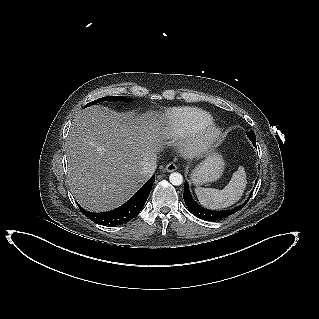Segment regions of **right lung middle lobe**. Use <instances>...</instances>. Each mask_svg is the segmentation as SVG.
I'll use <instances>...</instances> for the list:
<instances>
[{
  "label": "right lung middle lobe",
  "instance_id": "obj_1",
  "mask_svg": "<svg viewBox=\"0 0 319 319\" xmlns=\"http://www.w3.org/2000/svg\"><path fill=\"white\" fill-rule=\"evenodd\" d=\"M125 100V101H130L129 98L126 97H121V96H109V97H103V98H99L95 101H92L90 103H88L86 106H91V105H95L96 103L102 102V101H118V100Z\"/></svg>",
  "mask_w": 319,
  "mask_h": 319
}]
</instances>
